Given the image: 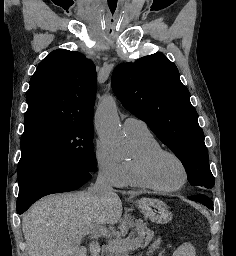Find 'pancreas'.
I'll list each match as a JSON object with an SVG mask.
<instances>
[{"mask_svg": "<svg viewBox=\"0 0 236 256\" xmlns=\"http://www.w3.org/2000/svg\"><path fill=\"white\" fill-rule=\"evenodd\" d=\"M132 224V219L122 220V226ZM121 233H124L122 227H119ZM136 235L138 238H119L120 234H109V236H118L115 240H109V246L114 249V254H122V250H135L136 247L148 246L151 242L154 232H148L145 224H138L136 227ZM118 248V249H117Z\"/></svg>", "mask_w": 236, "mask_h": 256, "instance_id": "obj_1", "label": "pancreas"}]
</instances>
